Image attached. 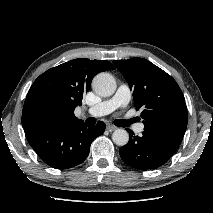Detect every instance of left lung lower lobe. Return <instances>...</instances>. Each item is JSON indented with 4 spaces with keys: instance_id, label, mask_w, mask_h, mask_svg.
<instances>
[{
    "instance_id": "obj_1",
    "label": "left lung lower lobe",
    "mask_w": 213,
    "mask_h": 213,
    "mask_svg": "<svg viewBox=\"0 0 213 213\" xmlns=\"http://www.w3.org/2000/svg\"><path fill=\"white\" fill-rule=\"evenodd\" d=\"M128 132L129 142L121 147L119 153L122 160L135 169H156L166 163L179 147V144L171 140L145 131L140 137L135 136L131 130Z\"/></svg>"
}]
</instances>
